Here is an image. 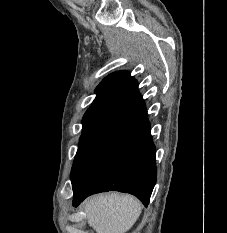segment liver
Listing matches in <instances>:
<instances>
[{"label":"liver","instance_id":"6515ba94","mask_svg":"<svg viewBox=\"0 0 227 233\" xmlns=\"http://www.w3.org/2000/svg\"><path fill=\"white\" fill-rule=\"evenodd\" d=\"M87 221L96 233H126L141 214V203L118 193L92 196L84 202Z\"/></svg>","mask_w":227,"mask_h":233}]
</instances>
